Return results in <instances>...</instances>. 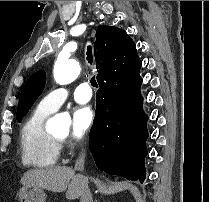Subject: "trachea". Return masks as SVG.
I'll return each instance as SVG.
<instances>
[{"label":"trachea","instance_id":"trachea-1","mask_svg":"<svg viewBox=\"0 0 209 202\" xmlns=\"http://www.w3.org/2000/svg\"><path fill=\"white\" fill-rule=\"evenodd\" d=\"M86 54H87V61H88V63L92 64L93 56H92V48H91V46H88ZM90 83H91V85L93 87H98V84H97L96 79H95L94 76L91 78Z\"/></svg>","mask_w":209,"mask_h":202}]
</instances>
